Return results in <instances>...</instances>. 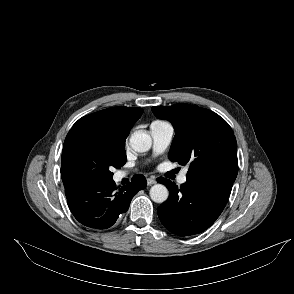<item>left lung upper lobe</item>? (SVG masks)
I'll list each match as a JSON object with an SVG mask.
<instances>
[{"label":"left lung upper lobe","instance_id":"1","mask_svg":"<svg viewBox=\"0 0 294 294\" xmlns=\"http://www.w3.org/2000/svg\"><path fill=\"white\" fill-rule=\"evenodd\" d=\"M153 113L175 129L168 158L189 165L187 178L230 171L237 176V143L229 124L211 110L197 105L154 106Z\"/></svg>","mask_w":294,"mask_h":294}]
</instances>
